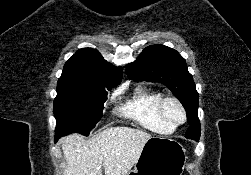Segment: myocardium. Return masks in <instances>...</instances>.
I'll return each instance as SVG.
<instances>
[{
	"mask_svg": "<svg viewBox=\"0 0 251 175\" xmlns=\"http://www.w3.org/2000/svg\"><path fill=\"white\" fill-rule=\"evenodd\" d=\"M169 102L176 103L181 108V110L183 112L184 117H183L182 122L171 126L174 130H177L178 128H180L186 124V122L188 120V116H189L188 110H187L186 106L184 105V103L178 97L163 96L162 99L158 103L157 110H158V114H159L160 119L167 125H169V120H168L166 113H165V107Z\"/></svg>",
	"mask_w": 251,
	"mask_h": 175,
	"instance_id": "f54148a6",
	"label": "myocardium"
}]
</instances>
